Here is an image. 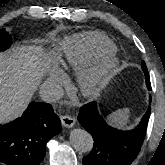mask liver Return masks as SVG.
I'll use <instances>...</instances> for the list:
<instances>
[{
    "label": "liver",
    "instance_id": "liver-1",
    "mask_svg": "<svg viewBox=\"0 0 165 165\" xmlns=\"http://www.w3.org/2000/svg\"><path fill=\"white\" fill-rule=\"evenodd\" d=\"M48 65L49 60L34 46L0 52V124L21 116Z\"/></svg>",
    "mask_w": 165,
    "mask_h": 165
}]
</instances>
